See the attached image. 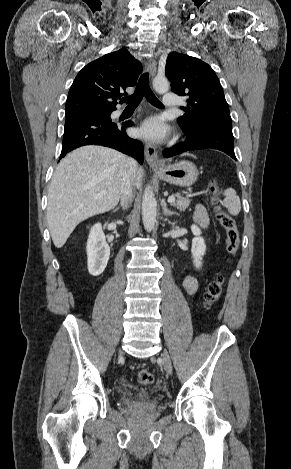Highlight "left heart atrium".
Here are the masks:
<instances>
[{
	"mask_svg": "<svg viewBox=\"0 0 291 469\" xmlns=\"http://www.w3.org/2000/svg\"><path fill=\"white\" fill-rule=\"evenodd\" d=\"M168 127L163 120L153 116L145 120L139 129V135L150 141H161L168 135Z\"/></svg>",
	"mask_w": 291,
	"mask_h": 469,
	"instance_id": "left-heart-atrium-1",
	"label": "left heart atrium"
}]
</instances>
